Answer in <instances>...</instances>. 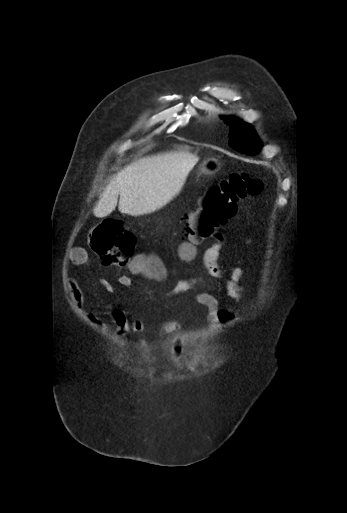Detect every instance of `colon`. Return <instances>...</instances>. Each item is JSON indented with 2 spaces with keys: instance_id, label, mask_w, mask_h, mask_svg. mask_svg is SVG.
<instances>
[{
  "instance_id": "obj_1",
  "label": "colon",
  "mask_w": 347,
  "mask_h": 513,
  "mask_svg": "<svg viewBox=\"0 0 347 513\" xmlns=\"http://www.w3.org/2000/svg\"><path fill=\"white\" fill-rule=\"evenodd\" d=\"M263 182L249 173H233L218 185L210 187L199 198L197 208L184 224L186 243L182 246L184 257L194 254V245L213 236L228 223L237 212L240 201L260 194ZM90 244L106 265L119 267L131 265L132 269L162 275L159 260L143 262L132 259L134 237L118 219H105L90 232Z\"/></svg>"
}]
</instances>
